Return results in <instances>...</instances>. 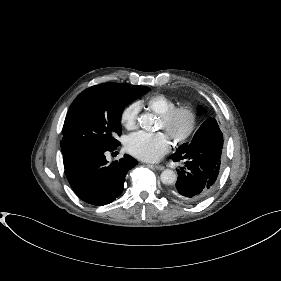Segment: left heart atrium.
I'll return each mask as SVG.
<instances>
[{
  "label": "left heart atrium",
  "instance_id": "39dd6f15",
  "mask_svg": "<svg viewBox=\"0 0 281 281\" xmlns=\"http://www.w3.org/2000/svg\"><path fill=\"white\" fill-rule=\"evenodd\" d=\"M126 149L140 160L155 162L168 153L170 140L162 132L154 134L137 132L127 138Z\"/></svg>",
  "mask_w": 281,
  "mask_h": 281
}]
</instances>
